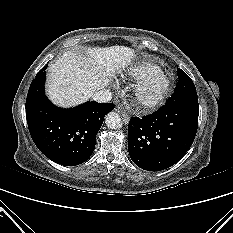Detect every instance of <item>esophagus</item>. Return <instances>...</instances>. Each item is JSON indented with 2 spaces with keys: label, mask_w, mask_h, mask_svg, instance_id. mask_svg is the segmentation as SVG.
I'll return each mask as SVG.
<instances>
[{
  "label": "esophagus",
  "mask_w": 233,
  "mask_h": 233,
  "mask_svg": "<svg viewBox=\"0 0 233 233\" xmlns=\"http://www.w3.org/2000/svg\"><path fill=\"white\" fill-rule=\"evenodd\" d=\"M116 111L121 114V117L125 123L129 122V116L124 111H122L120 108H117Z\"/></svg>",
  "instance_id": "obj_1"
}]
</instances>
